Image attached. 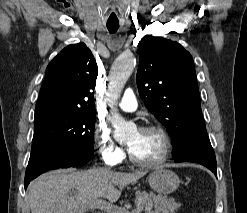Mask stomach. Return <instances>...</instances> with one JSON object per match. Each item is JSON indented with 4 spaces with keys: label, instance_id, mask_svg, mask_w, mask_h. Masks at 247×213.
Masks as SVG:
<instances>
[{
    "label": "stomach",
    "instance_id": "1",
    "mask_svg": "<svg viewBox=\"0 0 247 213\" xmlns=\"http://www.w3.org/2000/svg\"><path fill=\"white\" fill-rule=\"evenodd\" d=\"M148 183L154 191L168 195L179 187L180 180L173 171L161 167L149 174Z\"/></svg>",
    "mask_w": 247,
    "mask_h": 213
}]
</instances>
